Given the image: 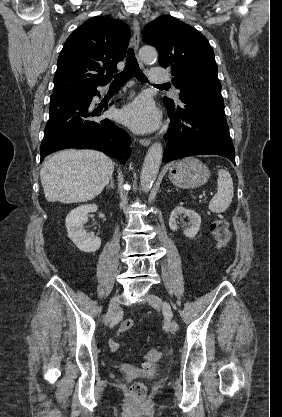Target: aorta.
<instances>
[{"mask_svg":"<svg viewBox=\"0 0 282 417\" xmlns=\"http://www.w3.org/2000/svg\"><path fill=\"white\" fill-rule=\"evenodd\" d=\"M139 56L146 64H153V62H156L157 60L158 52L154 46H142L139 50ZM162 156L163 148L161 142H154V144H151L144 158L140 174V182L144 192H148L154 180H156Z\"/></svg>","mask_w":282,"mask_h":417,"instance_id":"obj_1","label":"aorta"}]
</instances>
